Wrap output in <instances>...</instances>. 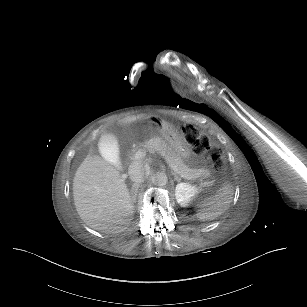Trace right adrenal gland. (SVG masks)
Instances as JSON below:
<instances>
[{
  "instance_id": "obj_1",
  "label": "right adrenal gland",
  "mask_w": 307,
  "mask_h": 307,
  "mask_svg": "<svg viewBox=\"0 0 307 307\" xmlns=\"http://www.w3.org/2000/svg\"><path fill=\"white\" fill-rule=\"evenodd\" d=\"M136 192L132 191L131 201L134 202L136 200Z\"/></svg>"
}]
</instances>
